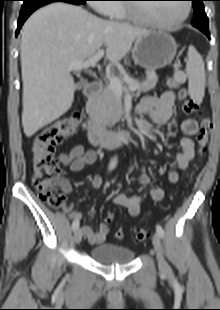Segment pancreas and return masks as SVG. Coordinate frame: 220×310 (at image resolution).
Here are the masks:
<instances>
[{
  "label": "pancreas",
  "instance_id": "pancreas-1",
  "mask_svg": "<svg viewBox=\"0 0 220 310\" xmlns=\"http://www.w3.org/2000/svg\"><path fill=\"white\" fill-rule=\"evenodd\" d=\"M147 78L145 81L138 84V92H148L156 86L158 77L154 71H147ZM123 81L122 76L118 78ZM130 83H136L131 80ZM91 119L103 126H112L118 122L123 114L121 95H117L107 85L104 87L102 93L91 100L87 108Z\"/></svg>",
  "mask_w": 220,
  "mask_h": 310
}]
</instances>
